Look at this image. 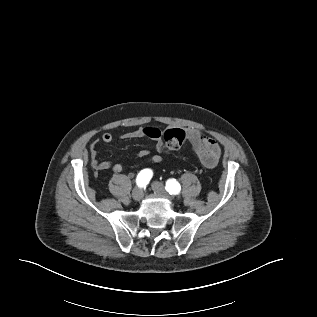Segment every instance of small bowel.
I'll return each instance as SVG.
<instances>
[{"label": "small bowel", "mask_w": 317, "mask_h": 317, "mask_svg": "<svg viewBox=\"0 0 317 317\" xmlns=\"http://www.w3.org/2000/svg\"><path fill=\"white\" fill-rule=\"evenodd\" d=\"M187 139L191 147L202 165L207 168L214 167L221 155V146L213 138L203 134L200 130L194 128L186 129ZM161 131L153 127H141L120 135L122 139H136V138H150L156 142V149L158 154L150 155V151L142 149L137 152L139 158H148L152 163H160L162 156L160 153L164 152V145L161 137ZM102 142L108 144L113 141V136L110 133H104L101 137ZM91 166L95 171L112 170L114 173H121L123 166L120 163L111 161H100L98 158V147L93 144L90 148Z\"/></svg>", "instance_id": "obj_1"}]
</instances>
